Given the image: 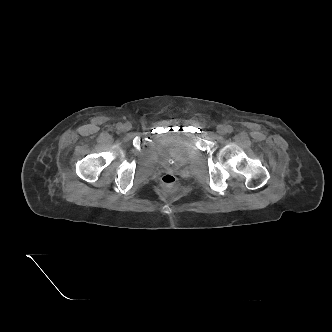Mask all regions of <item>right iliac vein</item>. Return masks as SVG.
Listing matches in <instances>:
<instances>
[{"label": "right iliac vein", "instance_id": "right-iliac-vein-1", "mask_svg": "<svg viewBox=\"0 0 332 332\" xmlns=\"http://www.w3.org/2000/svg\"><path fill=\"white\" fill-rule=\"evenodd\" d=\"M131 128H132V125L129 122H126V123H124V125H122L123 131H129V130H131Z\"/></svg>", "mask_w": 332, "mask_h": 332}]
</instances>
